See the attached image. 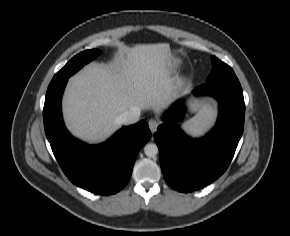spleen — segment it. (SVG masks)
<instances>
[{
    "label": "spleen",
    "instance_id": "3e777b00",
    "mask_svg": "<svg viewBox=\"0 0 290 236\" xmlns=\"http://www.w3.org/2000/svg\"><path fill=\"white\" fill-rule=\"evenodd\" d=\"M215 118V112L210 104L205 105L196 116L184 123V128L195 134L202 133Z\"/></svg>",
    "mask_w": 290,
    "mask_h": 236
}]
</instances>
